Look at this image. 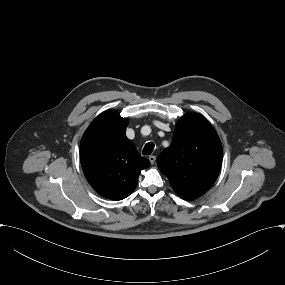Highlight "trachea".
Segmentation results:
<instances>
[{
  "mask_svg": "<svg viewBox=\"0 0 285 285\" xmlns=\"http://www.w3.org/2000/svg\"><path fill=\"white\" fill-rule=\"evenodd\" d=\"M155 147L153 142H148L143 148V155H150Z\"/></svg>",
  "mask_w": 285,
  "mask_h": 285,
  "instance_id": "3493384b",
  "label": "trachea"
}]
</instances>
